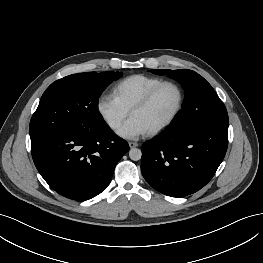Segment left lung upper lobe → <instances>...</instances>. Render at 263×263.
Instances as JSON below:
<instances>
[{"label": "left lung upper lobe", "mask_w": 263, "mask_h": 263, "mask_svg": "<svg viewBox=\"0 0 263 263\" xmlns=\"http://www.w3.org/2000/svg\"><path fill=\"white\" fill-rule=\"evenodd\" d=\"M158 75H167L182 84L185 89L183 109L178 112L170 127L182 132H193L216 123H228V114L223 102L212 86L198 73L188 70H151Z\"/></svg>", "instance_id": "obj_1"}]
</instances>
